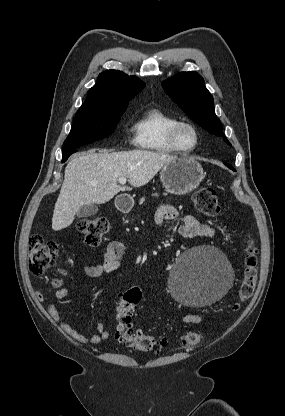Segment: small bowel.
<instances>
[{
    "instance_id": "small-bowel-1",
    "label": "small bowel",
    "mask_w": 285,
    "mask_h": 416,
    "mask_svg": "<svg viewBox=\"0 0 285 416\" xmlns=\"http://www.w3.org/2000/svg\"><path fill=\"white\" fill-rule=\"evenodd\" d=\"M178 217L177 210L170 205H161L155 214L156 224H161L164 221H172ZM179 233L184 238L195 237H212L215 235V229L207 224L201 223L197 218L192 215H185L182 218V225L179 228ZM124 245L120 241H111L104 252L103 261L97 264H91L84 267V274L88 278H96L104 274L114 272L119 267V260L124 252ZM68 287L65 285L55 292V298L62 300L68 295ZM37 299L39 301L44 300L42 292H37ZM49 316L53 321L59 324L63 333L80 343L97 345L101 341L110 340L114 335L106 328L103 322H98L96 325L97 332L85 336L76 331L67 321L61 318L57 307L54 304H50L47 308ZM202 320V317L197 314H190L184 317V322L188 324H198Z\"/></svg>"
}]
</instances>
